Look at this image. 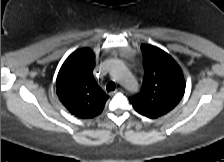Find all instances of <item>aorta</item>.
Wrapping results in <instances>:
<instances>
[{"label": "aorta", "mask_w": 224, "mask_h": 162, "mask_svg": "<svg viewBox=\"0 0 224 162\" xmlns=\"http://www.w3.org/2000/svg\"><path fill=\"white\" fill-rule=\"evenodd\" d=\"M110 74L127 90L136 92L138 82L121 60H114L110 67Z\"/></svg>", "instance_id": "aorta-1"}]
</instances>
